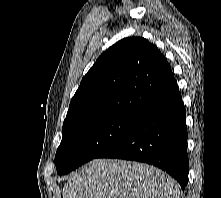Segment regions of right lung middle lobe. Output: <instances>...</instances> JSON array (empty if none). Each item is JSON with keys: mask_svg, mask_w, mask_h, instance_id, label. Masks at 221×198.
Here are the masks:
<instances>
[{"mask_svg": "<svg viewBox=\"0 0 221 198\" xmlns=\"http://www.w3.org/2000/svg\"><path fill=\"white\" fill-rule=\"evenodd\" d=\"M139 120L132 115H111L64 133L55 155L57 174H67L97 158L130 133Z\"/></svg>", "mask_w": 221, "mask_h": 198, "instance_id": "dd1d6c3e", "label": "right lung middle lobe"}]
</instances>
